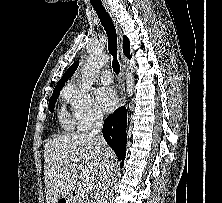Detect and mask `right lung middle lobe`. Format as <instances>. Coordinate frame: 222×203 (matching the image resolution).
<instances>
[{"label":"right lung middle lobe","instance_id":"dd1d6c3e","mask_svg":"<svg viewBox=\"0 0 222 203\" xmlns=\"http://www.w3.org/2000/svg\"><path fill=\"white\" fill-rule=\"evenodd\" d=\"M59 94H60V91L53 92V94H52V96L49 100V110H50V112H53L55 102H56V99L58 98Z\"/></svg>","mask_w":222,"mask_h":203}]
</instances>
